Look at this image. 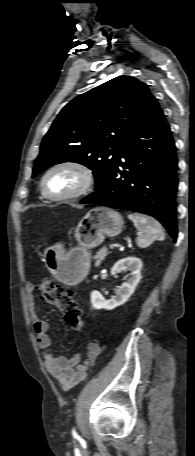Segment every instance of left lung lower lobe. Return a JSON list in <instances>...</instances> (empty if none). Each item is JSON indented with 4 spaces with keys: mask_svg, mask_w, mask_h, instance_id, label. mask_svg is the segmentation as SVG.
Returning <instances> with one entry per match:
<instances>
[{
    "mask_svg": "<svg viewBox=\"0 0 195 456\" xmlns=\"http://www.w3.org/2000/svg\"><path fill=\"white\" fill-rule=\"evenodd\" d=\"M177 156L163 111L155 99L127 134L116 163L81 204L148 214L177 239Z\"/></svg>",
    "mask_w": 195,
    "mask_h": 456,
    "instance_id": "0a47b994",
    "label": "left lung lower lobe"
}]
</instances>
